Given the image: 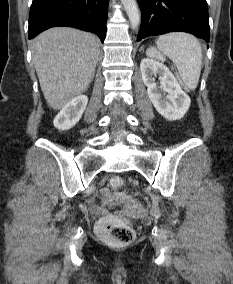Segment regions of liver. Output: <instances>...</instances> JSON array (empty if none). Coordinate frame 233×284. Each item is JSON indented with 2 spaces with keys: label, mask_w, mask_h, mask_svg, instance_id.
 Instances as JSON below:
<instances>
[{
  "label": "liver",
  "mask_w": 233,
  "mask_h": 284,
  "mask_svg": "<svg viewBox=\"0 0 233 284\" xmlns=\"http://www.w3.org/2000/svg\"><path fill=\"white\" fill-rule=\"evenodd\" d=\"M99 53L95 35L68 27L48 29L33 40V62L51 108H63L88 89Z\"/></svg>",
  "instance_id": "liver-1"
}]
</instances>
